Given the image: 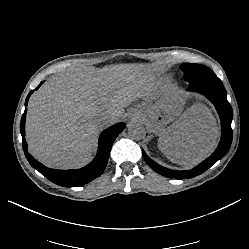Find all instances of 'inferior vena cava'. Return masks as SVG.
<instances>
[{
	"label": "inferior vena cava",
	"mask_w": 249,
	"mask_h": 249,
	"mask_svg": "<svg viewBox=\"0 0 249 249\" xmlns=\"http://www.w3.org/2000/svg\"><path fill=\"white\" fill-rule=\"evenodd\" d=\"M111 120H112V117L110 115H108V114H102L101 116H99L97 118L98 125L101 128L109 126ZM137 126H141L142 127V125H140V124L137 125Z\"/></svg>",
	"instance_id": "inferior-vena-cava-1"
}]
</instances>
